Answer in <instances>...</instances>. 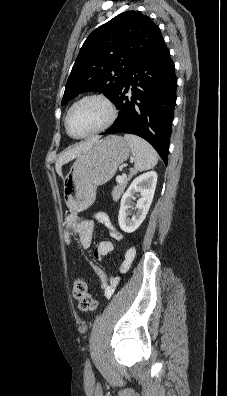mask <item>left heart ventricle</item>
Segmentation results:
<instances>
[{"instance_id":"left-heart-ventricle-1","label":"left heart ventricle","mask_w":227,"mask_h":396,"mask_svg":"<svg viewBox=\"0 0 227 396\" xmlns=\"http://www.w3.org/2000/svg\"><path fill=\"white\" fill-rule=\"evenodd\" d=\"M108 117V110L97 100L86 101L73 109L68 125L72 134L84 135L103 124Z\"/></svg>"}]
</instances>
